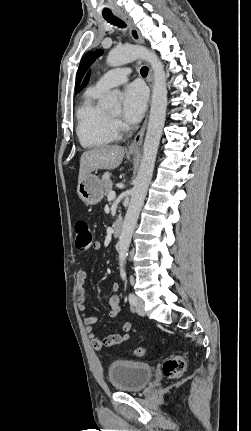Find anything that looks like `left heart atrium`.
Returning <instances> with one entry per match:
<instances>
[{"mask_svg":"<svg viewBox=\"0 0 251 431\" xmlns=\"http://www.w3.org/2000/svg\"><path fill=\"white\" fill-rule=\"evenodd\" d=\"M148 93L141 83L128 85L123 92V114L130 122L138 121L147 105Z\"/></svg>","mask_w":251,"mask_h":431,"instance_id":"1","label":"left heart atrium"}]
</instances>
